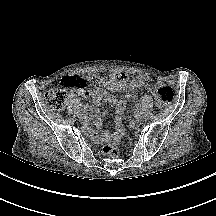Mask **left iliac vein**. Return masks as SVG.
I'll list each match as a JSON object with an SVG mask.
<instances>
[{
    "instance_id": "obj_1",
    "label": "left iliac vein",
    "mask_w": 216,
    "mask_h": 216,
    "mask_svg": "<svg viewBox=\"0 0 216 216\" xmlns=\"http://www.w3.org/2000/svg\"><path fill=\"white\" fill-rule=\"evenodd\" d=\"M145 118V114L140 112V116L137 118L138 120H143Z\"/></svg>"
}]
</instances>
